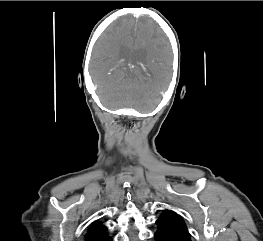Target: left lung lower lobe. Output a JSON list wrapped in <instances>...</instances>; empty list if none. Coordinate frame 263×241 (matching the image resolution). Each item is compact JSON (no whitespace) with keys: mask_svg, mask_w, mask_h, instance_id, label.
I'll return each instance as SVG.
<instances>
[{"mask_svg":"<svg viewBox=\"0 0 263 241\" xmlns=\"http://www.w3.org/2000/svg\"><path fill=\"white\" fill-rule=\"evenodd\" d=\"M157 231L154 235L156 241H191L190 235L186 234L165 221H156Z\"/></svg>","mask_w":263,"mask_h":241,"instance_id":"obj_1","label":"left lung lower lobe"}]
</instances>
